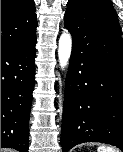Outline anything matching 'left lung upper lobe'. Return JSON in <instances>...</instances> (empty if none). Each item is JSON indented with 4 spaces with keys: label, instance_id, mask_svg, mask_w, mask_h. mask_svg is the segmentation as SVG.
<instances>
[{
    "label": "left lung upper lobe",
    "instance_id": "5c2ea615",
    "mask_svg": "<svg viewBox=\"0 0 123 152\" xmlns=\"http://www.w3.org/2000/svg\"><path fill=\"white\" fill-rule=\"evenodd\" d=\"M77 10L120 34L117 14L109 0H69L66 12Z\"/></svg>",
    "mask_w": 123,
    "mask_h": 152
}]
</instances>
